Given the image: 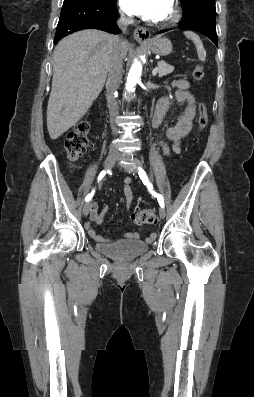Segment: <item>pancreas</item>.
Returning a JSON list of instances; mask_svg holds the SVG:
<instances>
[{
    "label": "pancreas",
    "mask_w": 254,
    "mask_h": 397,
    "mask_svg": "<svg viewBox=\"0 0 254 397\" xmlns=\"http://www.w3.org/2000/svg\"><path fill=\"white\" fill-rule=\"evenodd\" d=\"M157 73L159 77L166 76L174 71V67L167 64L165 61H159L157 66Z\"/></svg>",
    "instance_id": "obj_1"
}]
</instances>
